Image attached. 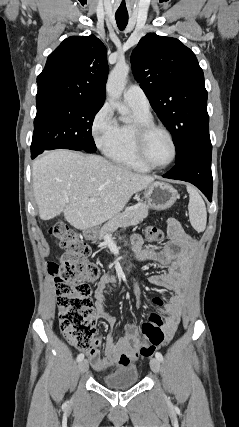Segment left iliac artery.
<instances>
[{"instance_id": "obj_1", "label": "left iliac artery", "mask_w": 239, "mask_h": 427, "mask_svg": "<svg viewBox=\"0 0 239 427\" xmlns=\"http://www.w3.org/2000/svg\"><path fill=\"white\" fill-rule=\"evenodd\" d=\"M155 356L159 361H163V356L160 352H156Z\"/></svg>"}]
</instances>
